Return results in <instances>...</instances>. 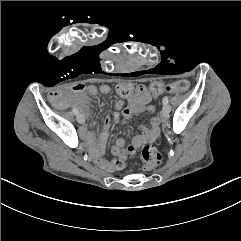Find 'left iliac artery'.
Returning <instances> with one entry per match:
<instances>
[{"instance_id":"obj_1","label":"left iliac artery","mask_w":241,"mask_h":241,"mask_svg":"<svg viewBox=\"0 0 241 241\" xmlns=\"http://www.w3.org/2000/svg\"><path fill=\"white\" fill-rule=\"evenodd\" d=\"M168 101H169V97L168 96H165L164 98H163V103L164 104H166V103H168Z\"/></svg>"}]
</instances>
